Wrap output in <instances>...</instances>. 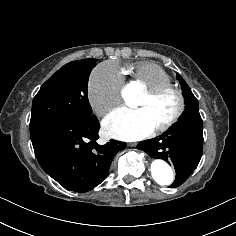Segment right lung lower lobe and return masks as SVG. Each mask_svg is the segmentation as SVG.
Returning a JSON list of instances; mask_svg holds the SVG:
<instances>
[{"label":"right lung lower lobe","instance_id":"obj_1","mask_svg":"<svg viewBox=\"0 0 236 236\" xmlns=\"http://www.w3.org/2000/svg\"><path fill=\"white\" fill-rule=\"evenodd\" d=\"M99 128L95 115L30 125L34 152L43 170L71 191L86 192L99 185L108 175L114 155L127 145L115 140L98 145Z\"/></svg>","mask_w":236,"mask_h":236}]
</instances>
